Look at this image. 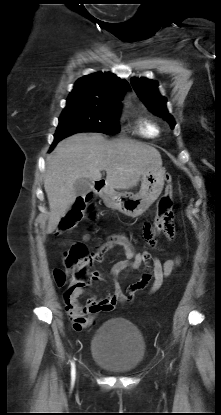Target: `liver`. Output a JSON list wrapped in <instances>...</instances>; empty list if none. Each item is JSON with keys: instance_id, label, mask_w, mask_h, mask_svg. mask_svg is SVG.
Listing matches in <instances>:
<instances>
[{"instance_id": "1", "label": "liver", "mask_w": 221, "mask_h": 415, "mask_svg": "<svg viewBox=\"0 0 221 415\" xmlns=\"http://www.w3.org/2000/svg\"><path fill=\"white\" fill-rule=\"evenodd\" d=\"M157 149L129 139L106 140L99 133H78L62 140L48 158L44 188L49 202L47 233L59 225L76 200L73 185L79 178L100 180L114 191L135 187L147 170L161 167Z\"/></svg>"}]
</instances>
